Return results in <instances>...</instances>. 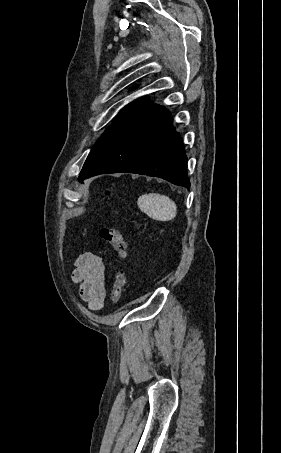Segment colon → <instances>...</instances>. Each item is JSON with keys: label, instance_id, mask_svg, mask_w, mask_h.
Masks as SVG:
<instances>
[{"label": "colon", "instance_id": "obj_1", "mask_svg": "<svg viewBox=\"0 0 281 453\" xmlns=\"http://www.w3.org/2000/svg\"><path fill=\"white\" fill-rule=\"evenodd\" d=\"M101 237L108 242L110 247L122 256L126 243L122 233L114 227H103L100 230ZM125 292V285L122 279V270H118L110 285L109 303L114 304L122 300Z\"/></svg>", "mask_w": 281, "mask_h": 453}]
</instances>
